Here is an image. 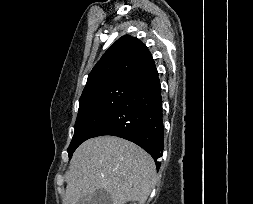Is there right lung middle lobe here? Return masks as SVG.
Segmentation results:
<instances>
[{
	"label": "right lung middle lobe",
	"instance_id": "obj_1",
	"mask_svg": "<svg viewBox=\"0 0 253 204\" xmlns=\"http://www.w3.org/2000/svg\"><path fill=\"white\" fill-rule=\"evenodd\" d=\"M136 82L118 81L91 89L82 94L75 123V133L68 147L69 159L75 149L92 138L97 129L132 91Z\"/></svg>",
	"mask_w": 253,
	"mask_h": 204
}]
</instances>
